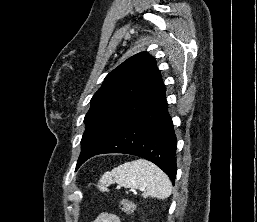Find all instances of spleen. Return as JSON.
Returning <instances> with one entry per match:
<instances>
[{
  "mask_svg": "<svg viewBox=\"0 0 257 222\" xmlns=\"http://www.w3.org/2000/svg\"><path fill=\"white\" fill-rule=\"evenodd\" d=\"M117 183L125 188L140 189L142 196L166 199L171 195L172 186L167 175L153 163L138 159L126 162L106 172L99 180L98 188L108 191L107 186Z\"/></svg>",
  "mask_w": 257,
  "mask_h": 222,
  "instance_id": "obj_1",
  "label": "spleen"
}]
</instances>
